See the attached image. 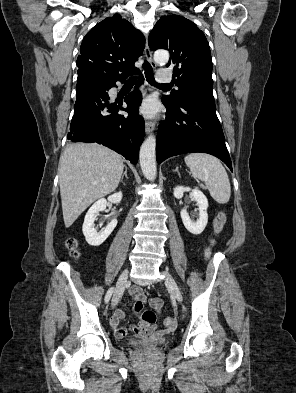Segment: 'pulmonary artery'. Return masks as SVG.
I'll list each match as a JSON object with an SVG mask.
<instances>
[{
	"mask_svg": "<svg viewBox=\"0 0 296 393\" xmlns=\"http://www.w3.org/2000/svg\"><path fill=\"white\" fill-rule=\"evenodd\" d=\"M171 80H172L171 75L168 72H166L165 70H161L158 72V75H157L158 82L169 83V82H171Z\"/></svg>",
	"mask_w": 296,
	"mask_h": 393,
	"instance_id": "1",
	"label": "pulmonary artery"
}]
</instances>
